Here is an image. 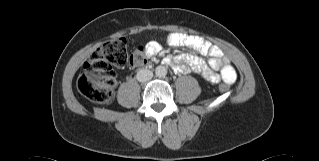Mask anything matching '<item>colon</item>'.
<instances>
[{
	"mask_svg": "<svg viewBox=\"0 0 319 161\" xmlns=\"http://www.w3.org/2000/svg\"><path fill=\"white\" fill-rule=\"evenodd\" d=\"M160 46L154 49L158 52ZM145 60V55L141 51H136L131 55L127 52L126 39L123 37L113 38L92 53L86 62L82 73L77 79L78 91L101 104L110 103L114 98V87L116 75L115 67H125L129 64H141ZM221 92H228L229 86L221 83Z\"/></svg>",
	"mask_w": 319,
	"mask_h": 161,
	"instance_id": "obj_1",
	"label": "colon"
}]
</instances>
